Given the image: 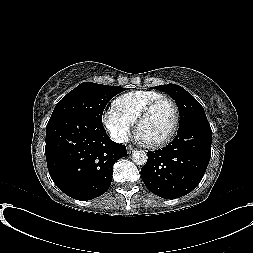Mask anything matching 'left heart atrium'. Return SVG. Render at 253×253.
<instances>
[{
  "label": "left heart atrium",
  "instance_id": "left-heart-atrium-1",
  "mask_svg": "<svg viewBox=\"0 0 253 253\" xmlns=\"http://www.w3.org/2000/svg\"><path fill=\"white\" fill-rule=\"evenodd\" d=\"M139 137V139L141 140V141H144L142 138H141V136H138Z\"/></svg>",
  "mask_w": 253,
  "mask_h": 253
}]
</instances>
